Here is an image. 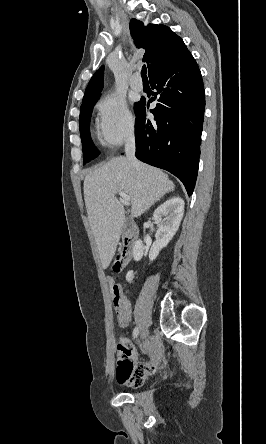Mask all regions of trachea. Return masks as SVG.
<instances>
[{
  "mask_svg": "<svg viewBox=\"0 0 266 444\" xmlns=\"http://www.w3.org/2000/svg\"><path fill=\"white\" fill-rule=\"evenodd\" d=\"M141 76H142L143 79H147V68H146V65L142 66Z\"/></svg>",
  "mask_w": 266,
  "mask_h": 444,
  "instance_id": "1",
  "label": "trachea"
}]
</instances>
